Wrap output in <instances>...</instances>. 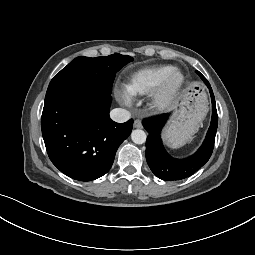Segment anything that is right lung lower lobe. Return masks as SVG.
Segmentation results:
<instances>
[{
    "mask_svg": "<svg viewBox=\"0 0 255 255\" xmlns=\"http://www.w3.org/2000/svg\"><path fill=\"white\" fill-rule=\"evenodd\" d=\"M110 93L100 85L79 81L47 89L41 117L46 150L52 163L75 180L105 175L131 133L132 119L121 124L110 119Z\"/></svg>",
    "mask_w": 255,
    "mask_h": 255,
    "instance_id": "98d812e1",
    "label": "right lung lower lobe"
}]
</instances>
